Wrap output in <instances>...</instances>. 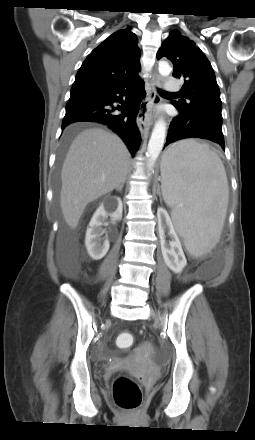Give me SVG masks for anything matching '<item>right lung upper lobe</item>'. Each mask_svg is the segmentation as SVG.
<instances>
[{
	"label": "right lung upper lobe",
	"mask_w": 255,
	"mask_h": 440,
	"mask_svg": "<svg viewBox=\"0 0 255 440\" xmlns=\"http://www.w3.org/2000/svg\"><path fill=\"white\" fill-rule=\"evenodd\" d=\"M137 41L131 27L110 35L81 65L71 94L105 89L138 76L141 52Z\"/></svg>",
	"instance_id": "obj_1"
}]
</instances>
